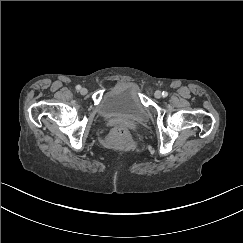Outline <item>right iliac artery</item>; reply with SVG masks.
<instances>
[{"mask_svg": "<svg viewBox=\"0 0 243 243\" xmlns=\"http://www.w3.org/2000/svg\"><path fill=\"white\" fill-rule=\"evenodd\" d=\"M81 89V86L80 85H77L76 86V90H80Z\"/></svg>", "mask_w": 243, "mask_h": 243, "instance_id": "82829eb1", "label": "right iliac artery"}]
</instances>
